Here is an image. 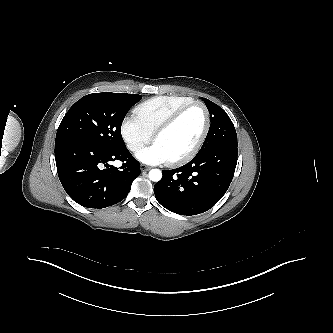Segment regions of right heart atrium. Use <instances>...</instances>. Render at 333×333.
Listing matches in <instances>:
<instances>
[{"label": "right heart atrium", "mask_w": 333, "mask_h": 333, "mask_svg": "<svg viewBox=\"0 0 333 333\" xmlns=\"http://www.w3.org/2000/svg\"><path fill=\"white\" fill-rule=\"evenodd\" d=\"M121 136L131 152H137L152 139L150 132L135 116H126L120 126Z\"/></svg>", "instance_id": "right-heart-atrium-1"}]
</instances>
